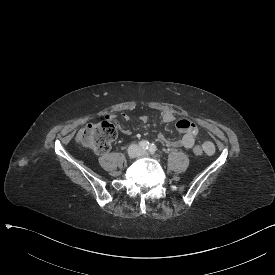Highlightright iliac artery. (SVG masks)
<instances>
[{"label":"right iliac artery","mask_w":275,"mask_h":275,"mask_svg":"<svg viewBox=\"0 0 275 275\" xmlns=\"http://www.w3.org/2000/svg\"><path fill=\"white\" fill-rule=\"evenodd\" d=\"M139 146L142 148V149H149V146H150V143L146 140H142L139 142Z\"/></svg>","instance_id":"82829eb1"}]
</instances>
